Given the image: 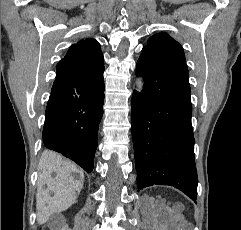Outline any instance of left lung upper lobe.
<instances>
[{"label": "left lung upper lobe", "mask_w": 241, "mask_h": 230, "mask_svg": "<svg viewBox=\"0 0 241 230\" xmlns=\"http://www.w3.org/2000/svg\"><path fill=\"white\" fill-rule=\"evenodd\" d=\"M141 56L171 70L189 75L182 46L167 33L155 34L143 47Z\"/></svg>", "instance_id": "left-lung-upper-lobe-1"}]
</instances>
